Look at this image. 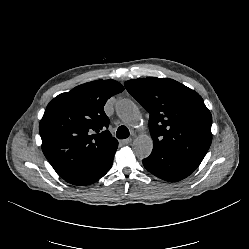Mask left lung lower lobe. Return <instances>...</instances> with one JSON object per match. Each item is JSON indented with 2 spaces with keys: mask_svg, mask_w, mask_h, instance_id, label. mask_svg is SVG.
Instances as JSON below:
<instances>
[{
  "mask_svg": "<svg viewBox=\"0 0 249 249\" xmlns=\"http://www.w3.org/2000/svg\"><path fill=\"white\" fill-rule=\"evenodd\" d=\"M201 161L154 147L151 155L143 159V165L155 176L177 182L189 176Z\"/></svg>",
  "mask_w": 249,
  "mask_h": 249,
  "instance_id": "obj_1",
  "label": "left lung lower lobe"
}]
</instances>
